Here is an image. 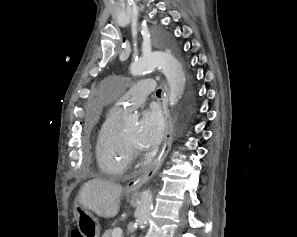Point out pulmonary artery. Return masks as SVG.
Here are the masks:
<instances>
[{"mask_svg":"<svg viewBox=\"0 0 297 237\" xmlns=\"http://www.w3.org/2000/svg\"><path fill=\"white\" fill-rule=\"evenodd\" d=\"M156 85L152 78H144L132 86L122 89L123 96L115 107L117 112H124L130 108L137 107L143 103L146 97L154 92Z\"/></svg>","mask_w":297,"mask_h":237,"instance_id":"1","label":"pulmonary artery"}]
</instances>
